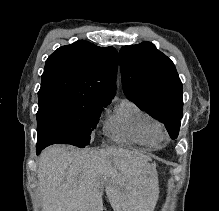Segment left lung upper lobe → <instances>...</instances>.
Segmentation results:
<instances>
[{
  "mask_svg": "<svg viewBox=\"0 0 219 211\" xmlns=\"http://www.w3.org/2000/svg\"><path fill=\"white\" fill-rule=\"evenodd\" d=\"M123 91L140 109L165 124L176 139L183 114L182 83L173 62L151 42L119 51Z\"/></svg>",
  "mask_w": 219,
  "mask_h": 211,
  "instance_id": "obj_1",
  "label": "left lung upper lobe"
}]
</instances>
